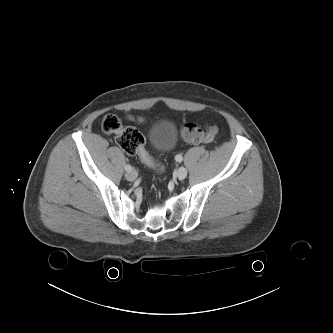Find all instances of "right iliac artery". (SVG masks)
I'll use <instances>...</instances> for the list:
<instances>
[{
    "label": "right iliac artery",
    "mask_w": 333,
    "mask_h": 333,
    "mask_svg": "<svg viewBox=\"0 0 333 333\" xmlns=\"http://www.w3.org/2000/svg\"><path fill=\"white\" fill-rule=\"evenodd\" d=\"M125 170H126L127 172H129V171L132 170V167H131L129 164H127V165L125 166Z\"/></svg>",
    "instance_id": "82829eb1"
}]
</instances>
